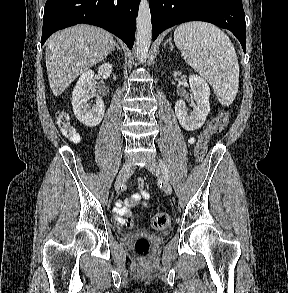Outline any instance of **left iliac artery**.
Here are the masks:
<instances>
[{"label":"left iliac artery","mask_w":288,"mask_h":293,"mask_svg":"<svg viewBox=\"0 0 288 293\" xmlns=\"http://www.w3.org/2000/svg\"><path fill=\"white\" fill-rule=\"evenodd\" d=\"M160 167H161V169H162V173H163L164 178H165L166 180H168V172H167V168H166L165 163H164L162 160H160Z\"/></svg>","instance_id":"1"}]
</instances>
